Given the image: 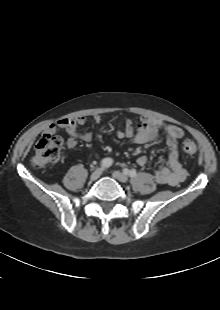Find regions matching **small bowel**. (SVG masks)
<instances>
[{
    "label": "small bowel",
    "mask_w": 220,
    "mask_h": 310,
    "mask_svg": "<svg viewBox=\"0 0 220 310\" xmlns=\"http://www.w3.org/2000/svg\"><path fill=\"white\" fill-rule=\"evenodd\" d=\"M94 120L97 123L102 122L101 115L96 114ZM86 117L77 116L73 118H64L56 123L47 126L46 134H54L58 130H65L69 135L66 146L74 149L78 140L86 143L93 141V135L90 132L81 133L78 127L85 124ZM163 130L166 134V146L169 150L167 165L159 166L154 172L153 178L158 184L177 186L186 178V170L180 160L179 141L184 137V130L173 124H167L160 119L144 117L137 124L131 120L125 122L124 128L117 132L119 139H127L135 144H150L157 139L158 133ZM136 163L144 167L148 163V158L141 155L137 158Z\"/></svg>",
    "instance_id": "obj_1"
}]
</instances>
